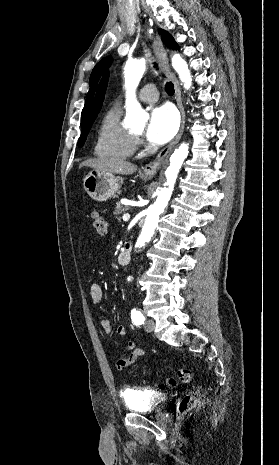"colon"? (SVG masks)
Here are the masks:
<instances>
[{
	"mask_svg": "<svg viewBox=\"0 0 279 465\" xmlns=\"http://www.w3.org/2000/svg\"><path fill=\"white\" fill-rule=\"evenodd\" d=\"M91 222H92V225L93 227L95 228L96 232L98 233V235L100 236H104L107 232V223L105 221V219L102 217V215L97 212V211H93L91 213ZM178 377H179V380L182 381V382H189L192 378V372L187 369V368H181L179 371H178ZM166 384L167 386L169 387H174L176 386L177 382L174 378H167L166 379ZM197 404V399H196V396L194 395V393H188L186 394L179 402V412L184 414L190 410H192Z\"/></svg>",
	"mask_w": 279,
	"mask_h": 465,
	"instance_id": "1",
	"label": "colon"
}]
</instances>
